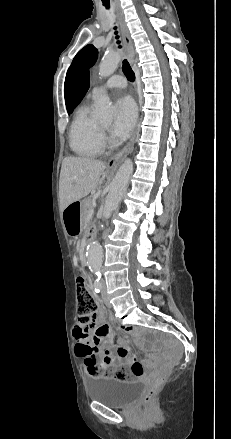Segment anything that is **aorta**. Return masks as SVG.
Returning <instances> with one entry per match:
<instances>
[{"label": "aorta", "instance_id": "762f6f07", "mask_svg": "<svg viewBox=\"0 0 231 439\" xmlns=\"http://www.w3.org/2000/svg\"><path fill=\"white\" fill-rule=\"evenodd\" d=\"M120 63V54L111 52L105 55L99 66V73L103 77H108L114 73ZM95 117L101 122H110L113 117V108L107 95H101L99 98ZM133 173V162L127 159L118 169L111 185L103 209V220L110 217L112 212L118 207ZM104 228V225H101ZM87 264L89 269L95 274L101 271L103 261V249L98 241H92L86 252Z\"/></svg>", "mask_w": 231, "mask_h": 439}]
</instances>
